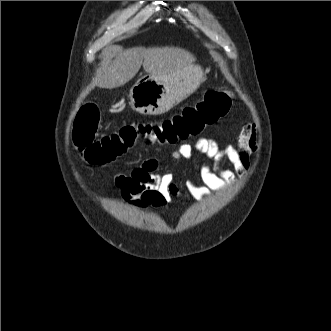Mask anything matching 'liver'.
Instances as JSON below:
<instances>
[{"instance_id":"obj_1","label":"liver","mask_w":331,"mask_h":331,"mask_svg":"<svg viewBox=\"0 0 331 331\" xmlns=\"http://www.w3.org/2000/svg\"><path fill=\"white\" fill-rule=\"evenodd\" d=\"M195 60L178 47H135L121 52L97 77L100 88L112 89L129 82L143 65L148 74L167 78L185 70Z\"/></svg>"}]
</instances>
